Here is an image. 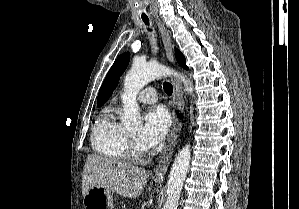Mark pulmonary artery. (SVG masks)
<instances>
[{
  "label": "pulmonary artery",
  "mask_w": 299,
  "mask_h": 209,
  "mask_svg": "<svg viewBox=\"0 0 299 209\" xmlns=\"http://www.w3.org/2000/svg\"><path fill=\"white\" fill-rule=\"evenodd\" d=\"M137 100L142 103L152 104L158 100L157 92L153 87H146L137 95Z\"/></svg>",
  "instance_id": "1"
}]
</instances>
